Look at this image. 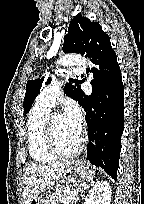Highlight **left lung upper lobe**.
<instances>
[{"label": "left lung upper lobe", "instance_id": "5c2ea615", "mask_svg": "<svg viewBox=\"0 0 144 204\" xmlns=\"http://www.w3.org/2000/svg\"><path fill=\"white\" fill-rule=\"evenodd\" d=\"M62 50L65 53L85 54L97 67L106 68L117 59L110 43L109 36L103 32L99 23L91 22L86 17L78 14L70 22L68 33L64 39ZM44 78L29 80L26 86L24 97V113H28L36 96L40 92ZM51 78L47 80L50 83ZM70 82L75 80L70 79ZM65 93L80 102L83 92L80 86H72L71 83L65 85Z\"/></svg>", "mask_w": 144, "mask_h": 204}]
</instances>
